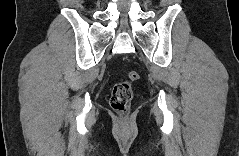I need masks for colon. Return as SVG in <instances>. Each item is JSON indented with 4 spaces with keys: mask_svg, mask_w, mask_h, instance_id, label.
<instances>
[{
    "mask_svg": "<svg viewBox=\"0 0 239 156\" xmlns=\"http://www.w3.org/2000/svg\"><path fill=\"white\" fill-rule=\"evenodd\" d=\"M128 80L115 84L112 89L110 104L112 109L120 115H125L130 109L133 99L132 83L139 79L136 71L128 72Z\"/></svg>",
    "mask_w": 239,
    "mask_h": 156,
    "instance_id": "5ec220e1",
    "label": "colon"
}]
</instances>
